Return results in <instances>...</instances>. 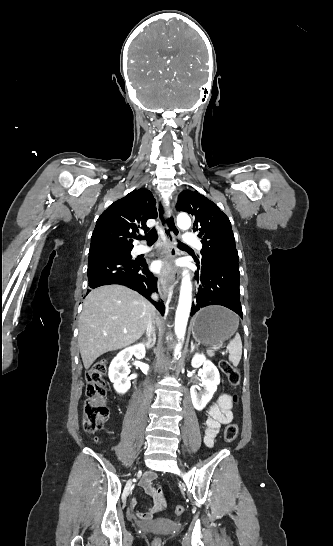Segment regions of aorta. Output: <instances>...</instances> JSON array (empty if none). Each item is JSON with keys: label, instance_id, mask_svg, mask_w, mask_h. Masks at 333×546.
Segmentation results:
<instances>
[{"label": "aorta", "instance_id": "obj_1", "mask_svg": "<svg viewBox=\"0 0 333 546\" xmlns=\"http://www.w3.org/2000/svg\"><path fill=\"white\" fill-rule=\"evenodd\" d=\"M177 225L181 229H184V230L188 229L191 226L190 217L185 213H180L177 216ZM191 303H192V284H191L190 276L188 275L187 271H184L183 279L181 282L179 304H178V307L176 310V316H175V334L177 338L179 339V344L177 345L174 352L175 358H177V356L178 358L181 357L180 340H183L185 336Z\"/></svg>", "mask_w": 333, "mask_h": 546}]
</instances>
